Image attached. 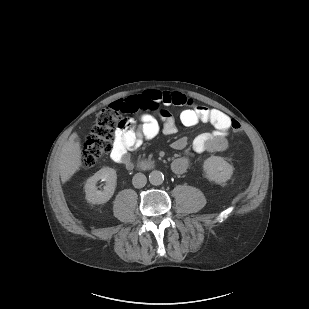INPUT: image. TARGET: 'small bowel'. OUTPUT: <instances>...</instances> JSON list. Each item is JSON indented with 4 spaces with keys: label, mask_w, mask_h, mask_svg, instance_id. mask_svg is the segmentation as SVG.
<instances>
[{
    "label": "small bowel",
    "mask_w": 309,
    "mask_h": 309,
    "mask_svg": "<svg viewBox=\"0 0 309 309\" xmlns=\"http://www.w3.org/2000/svg\"><path fill=\"white\" fill-rule=\"evenodd\" d=\"M127 100L130 102L132 112L145 110L146 113L142 114L138 126L132 122L126 128L116 131L110 154L116 163L132 167L130 151L140 148L145 141L154 139L161 130L170 135L177 132L174 118L161 106H187L180 114L181 123L186 127H193L199 121L208 122L213 126L214 130L201 133L193 140L192 149L195 153L221 152L228 147L227 136L232 127V120L220 110L193 104L178 92L148 90ZM186 146L185 137L173 142V148L176 150H182ZM190 163L191 159L188 156L176 159L172 164L173 173L177 175L184 173Z\"/></svg>",
    "instance_id": "1"
}]
</instances>
